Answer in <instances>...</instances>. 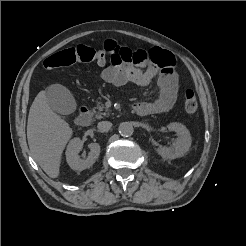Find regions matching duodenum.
I'll return each mask as SVG.
<instances>
[{
  "label": "duodenum",
  "instance_id": "obj_1",
  "mask_svg": "<svg viewBox=\"0 0 246 246\" xmlns=\"http://www.w3.org/2000/svg\"><path fill=\"white\" fill-rule=\"evenodd\" d=\"M91 113L87 107H81L76 116L75 122L79 126H87L91 122Z\"/></svg>",
  "mask_w": 246,
  "mask_h": 246
}]
</instances>
